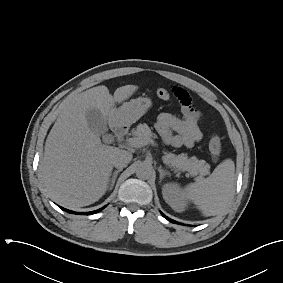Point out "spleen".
<instances>
[{
    "mask_svg": "<svg viewBox=\"0 0 283 283\" xmlns=\"http://www.w3.org/2000/svg\"><path fill=\"white\" fill-rule=\"evenodd\" d=\"M235 187V163L232 159L221 162L213 173L186 185L183 195L193 202L204 216H215L231 200Z\"/></svg>",
    "mask_w": 283,
    "mask_h": 283,
    "instance_id": "1",
    "label": "spleen"
}]
</instances>
